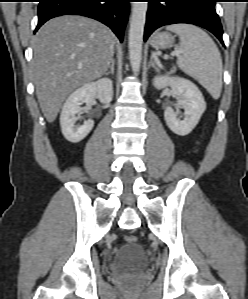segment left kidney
Wrapping results in <instances>:
<instances>
[{"mask_svg": "<svg viewBox=\"0 0 248 299\" xmlns=\"http://www.w3.org/2000/svg\"><path fill=\"white\" fill-rule=\"evenodd\" d=\"M153 85L158 90L169 86L178 96L177 106L184 109V116L178 117L173 108L167 107L164 118L172 132L179 136L188 135L206 109L201 91L194 83L180 77L158 76L153 79Z\"/></svg>", "mask_w": 248, "mask_h": 299, "instance_id": "obj_1", "label": "left kidney"}]
</instances>
